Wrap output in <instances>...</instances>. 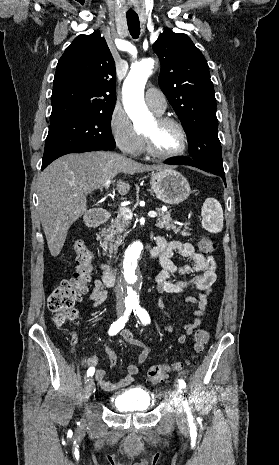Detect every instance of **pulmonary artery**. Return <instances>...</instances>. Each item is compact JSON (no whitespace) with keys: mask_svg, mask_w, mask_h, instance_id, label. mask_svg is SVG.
<instances>
[{"mask_svg":"<svg viewBox=\"0 0 279 465\" xmlns=\"http://www.w3.org/2000/svg\"><path fill=\"white\" fill-rule=\"evenodd\" d=\"M147 105L156 113H163L167 107V101L164 94L155 88H149L145 94Z\"/></svg>","mask_w":279,"mask_h":465,"instance_id":"obj_1","label":"pulmonary artery"}]
</instances>
